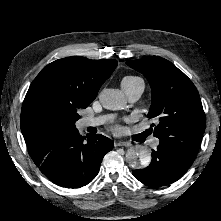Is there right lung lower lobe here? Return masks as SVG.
<instances>
[{"label":"right lung lower lobe","instance_id":"right-lung-lower-lobe-1","mask_svg":"<svg viewBox=\"0 0 221 221\" xmlns=\"http://www.w3.org/2000/svg\"><path fill=\"white\" fill-rule=\"evenodd\" d=\"M84 139L76 129L27 146L32 160L49 180L61 187L80 188L96 177L104 155L114 146L101 134H88Z\"/></svg>","mask_w":221,"mask_h":221}]
</instances>
